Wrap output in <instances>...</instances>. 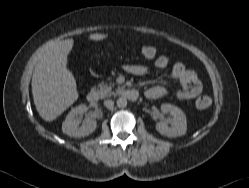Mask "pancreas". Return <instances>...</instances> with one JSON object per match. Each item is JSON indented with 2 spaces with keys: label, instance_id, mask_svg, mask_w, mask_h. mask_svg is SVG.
<instances>
[{
  "label": "pancreas",
  "instance_id": "1",
  "mask_svg": "<svg viewBox=\"0 0 249 188\" xmlns=\"http://www.w3.org/2000/svg\"><path fill=\"white\" fill-rule=\"evenodd\" d=\"M114 86V84H107V83H101L98 85L99 87V93L101 95L102 98H106V97H111L112 95H115L112 92V87Z\"/></svg>",
  "mask_w": 249,
  "mask_h": 188
}]
</instances>
